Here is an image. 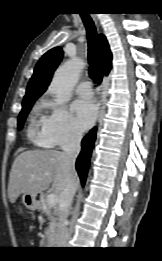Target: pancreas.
<instances>
[{"label": "pancreas", "mask_w": 162, "mask_h": 261, "mask_svg": "<svg viewBox=\"0 0 162 261\" xmlns=\"http://www.w3.org/2000/svg\"><path fill=\"white\" fill-rule=\"evenodd\" d=\"M42 211L46 214L49 225L45 230L44 237L42 239L43 242L53 240L58 233V223L57 218L55 217L56 212L52 211V207H50L47 203H42Z\"/></svg>", "instance_id": "pancreas-1"}]
</instances>
